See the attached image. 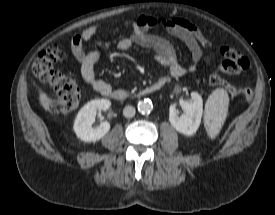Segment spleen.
Segmentation results:
<instances>
[{
	"label": "spleen",
	"instance_id": "obj_1",
	"mask_svg": "<svg viewBox=\"0 0 275 215\" xmlns=\"http://www.w3.org/2000/svg\"><path fill=\"white\" fill-rule=\"evenodd\" d=\"M229 97L224 89H216L205 106V126L208 135L214 138L220 131L228 111Z\"/></svg>",
	"mask_w": 275,
	"mask_h": 215
}]
</instances>
